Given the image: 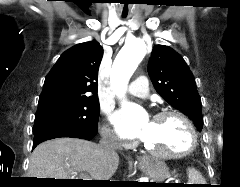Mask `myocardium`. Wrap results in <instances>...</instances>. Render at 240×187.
I'll return each instance as SVG.
<instances>
[{"instance_id":"myocardium-1","label":"myocardium","mask_w":240,"mask_h":187,"mask_svg":"<svg viewBox=\"0 0 240 187\" xmlns=\"http://www.w3.org/2000/svg\"><path fill=\"white\" fill-rule=\"evenodd\" d=\"M167 116L177 117L185 126L188 137H189L188 146L184 150L177 151V152H160V151H154L150 149L147 143H144V150L148 154L161 159H177V158H183L190 155L192 152H194V150L197 147V133L193 123L183 112L175 109H165V110L159 111L158 113L155 114L153 119L159 120Z\"/></svg>"}]
</instances>
